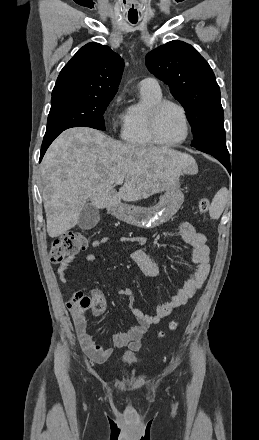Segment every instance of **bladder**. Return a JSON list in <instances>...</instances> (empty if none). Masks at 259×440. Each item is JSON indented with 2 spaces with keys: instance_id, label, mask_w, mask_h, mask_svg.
Instances as JSON below:
<instances>
[{
  "instance_id": "31cf9c89",
  "label": "bladder",
  "mask_w": 259,
  "mask_h": 440,
  "mask_svg": "<svg viewBox=\"0 0 259 440\" xmlns=\"http://www.w3.org/2000/svg\"><path fill=\"white\" fill-rule=\"evenodd\" d=\"M137 360V356L131 352H125L120 358V361L123 364H132L137 362Z\"/></svg>"
}]
</instances>
